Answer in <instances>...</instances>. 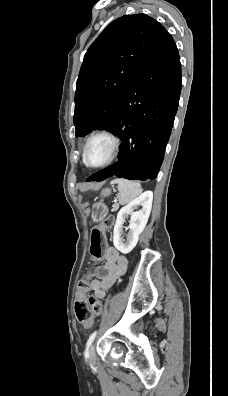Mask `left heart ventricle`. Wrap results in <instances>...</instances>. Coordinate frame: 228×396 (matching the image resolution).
Returning a JSON list of instances; mask_svg holds the SVG:
<instances>
[{"label": "left heart ventricle", "mask_w": 228, "mask_h": 396, "mask_svg": "<svg viewBox=\"0 0 228 396\" xmlns=\"http://www.w3.org/2000/svg\"><path fill=\"white\" fill-rule=\"evenodd\" d=\"M111 151V142L105 137L94 138L87 150V159L91 164H100L104 162Z\"/></svg>", "instance_id": "obj_1"}]
</instances>
